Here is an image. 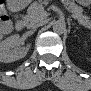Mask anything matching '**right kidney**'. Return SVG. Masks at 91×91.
<instances>
[{"label": "right kidney", "mask_w": 91, "mask_h": 91, "mask_svg": "<svg viewBox=\"0 0 91 91\" xmlns=\"http://www.w3.org/2000/svg\"><path fill=\"white\" fill-rule=\"evenodd\" d=\"M20 36L12 35L0 43V61L3 63H11L21 58H24L30 47L31 43H29L22 50L17 49L16 47L19 45Z\"/></svg>", "instance_id": "ca27d5eb"}]
</instances>
